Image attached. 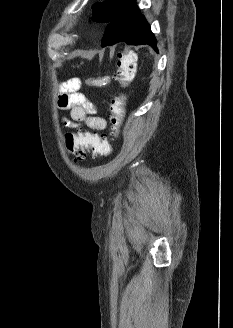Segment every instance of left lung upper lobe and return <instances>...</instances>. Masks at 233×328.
Wrapping results in <instances>:
<instances>
[{
  "label": "left lung upper lobe",
  "mask_w": 233,
  "mask_h": 328,
  "mask_svg": "<svg viewBox=\"0 0 233 328\" xmlns=\"http://www.w3.org/2000/svg\"><path fill=\"white\" fill-rule=\"evenodd\" d=\"M130 0H106L93 6V20L110 23Z\"/></svg>",
  "instance_id": "obj_1"
}]
</instances>
